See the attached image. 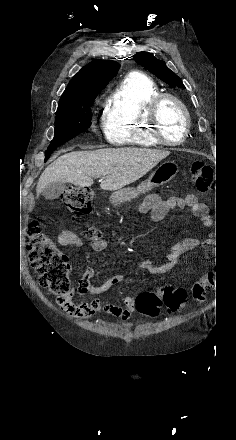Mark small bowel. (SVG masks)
Segmentation results:
<instances>
[{"mask_svg":"<svg viewBox=\"0 0 236 440\" xmlns=\"http://www.w3.org/2000/svg\"><path fill=\"white\" fill-rule=\"evenodd\" d=\"M173 208H191L194 215L197 216L205 226L210 227L212 225V221L206 211V206L200 203L194 194H188L185 197L172 196L166 200H163L157 194H150L140 203L138 209L140 213L149 215L150 221L155 223L162 221L169 210ZM57 242L61 246L81 247L83 245L81 238L71 230L62 231L57 238ZM201 244V241L195 237H185L171 247L165 261L150 263L147 268L151 273L164 274L179 263L185 253ZM91 248L94 252H103L107 248V242L102 238L93 239L91 241ZM93 276L94 270L92 268H88L84 272L77 285V297H74L72 294L68 303L62 305L64 311L77 318L104 314L107 317H115L123 321L129 320L132 313L137 310L135 302L139 295L137 297L125 296L122 299L124 307L110 303H102L97 298L98 295L118 285L123 280L122 274L120 272H114L99 285L93 283ZM86 294L92 298L90 300L81 298Z\"/></svg>","mask_w":236,"mask_h":440,"instance_id":"1","label":"small bowel"}]
</instances>
